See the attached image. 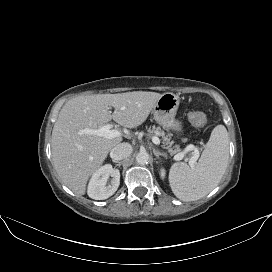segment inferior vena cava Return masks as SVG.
<instances>
[{
	"label": "inferior vena cava",
	"mask_w": 272,
	"mask_h": 272,
	"mask_svg": "<svg viewBox=\"0 0 272 272\" xmlns=\"http://www.w3.org/2000/svg\"><path fill=\"white\" fill-rule=\"evenodd\" d=\"M132 146L129 143H120L111 149L110 157L114 160H122L130 156Z\"/></svg>",
	"instance_id": "obj_1"
}]
</instances>
